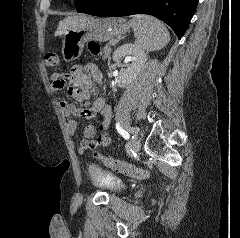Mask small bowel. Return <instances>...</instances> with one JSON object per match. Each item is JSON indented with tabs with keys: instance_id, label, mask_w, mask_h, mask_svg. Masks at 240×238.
I'll use <instances>...</instances> for the list:
<instances>
[{
	"instance_id": "obj_1",
	"label": "small bowel",
	"mask_w": 240,
	"mask_h": 238,
	"mask_svg": "<svg viewBox=\"0 0 240 238\" xmlns=\"http://www.w3.org/2000/svg\"><path fill=\"white\" fill-rule=\"evenodd\" d=\"M50 81L52 91H59L68 86L70 96L79 101L90 102V90L93 83L101 86L103 77L95 64L86 63L83 66H73L69 76L54 73L51 75ZM59 107L65 117L66 126L71 136H75L77 131L76 116L97 121V126L89 124L84 128L83 137L76 147L78 153H83L89 148L105 147L111 143L108 130L112 117V105L105 98L95 99L91 107L86 109L78 108L66 100L60 101ZM97 130L100 131V135L95 138Z\"/></svg>"
}]
</instances>
